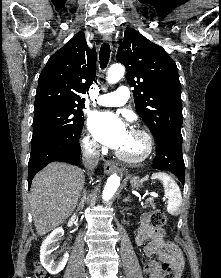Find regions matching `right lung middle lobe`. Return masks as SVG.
I'll return each mask as SVG.
<instances>
[{"instance_id":"right-lung-middle-lobe-1","label":"right lung middle lobe","mask_w":221,"mask_h":278,"mask_svg":"<svg viewBox=\"0 0 221 278\" xmlns=\"http://www.w3.org/2000/svg\"><path fill=\"white\" fill-rule=\"evenodd\" d=\"M84 125L80 107L46 104L34 107L33 136L31 143L48 135H80Z\"/></svg>"}]
</instances>
